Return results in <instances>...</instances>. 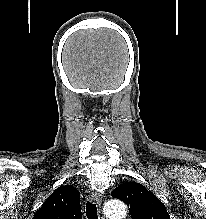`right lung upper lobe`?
Returning <instances> with one entry per match:
<instances>
[{"label":"right lung upper lobe","mask_w":206,"mask_h":219,"mask_svg":"<svg viewBox=\"0 0 206 219\" xmlns=\"http://www.w3.org/2000/svg\"><path fill=\"white\" fill-rule=\"evenodd\" d=\"M79 195L72 186L58 187L32 219H82Z\"/></svg>","instance_id":"cb5924a9"}]
</instances>
